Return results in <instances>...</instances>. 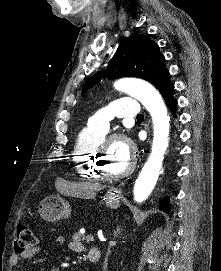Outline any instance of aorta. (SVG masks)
I'll list each match as a JSON object with an SVG mask.
<instances>
[{
	"label": "aorta",
	"instance_id": "aorta-1",
	"mask_svg": "<svg viewBox=\"0 0 221 271\" xmlns=\"http://www.w3.org/2000/svg\"><path fill=\"white\" fill-rule=\"evenodd\" d=\"M115 89L139 100L150 113L153 123L151 153L134 185V200L145 201L154 189L169 144L170 117L160 93L149 83L124 78L114 83Z\"/></svg>",
	"mask_w": 221,
	"mask_h": 271
}]
</instances>
